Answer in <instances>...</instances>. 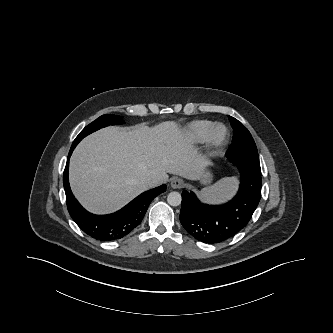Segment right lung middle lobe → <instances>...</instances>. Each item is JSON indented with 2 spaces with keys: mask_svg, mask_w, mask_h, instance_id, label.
Listing matches in <instances>:
<instances>
[{
  "mask_svg": "<svg viewBox=\"0 0 333 333\" xmlns=\"http://www.w3.org/2000/svg\"><path fill=\"white\" fill-rule=\"evenodd\" d=\"M123 120L120 116L116 115H102L99 118H97L95 121L87 125L76 137L72 145H77L84 137L91 134L92 132L106 127L108 125H115V124H123Z\"/></svg>",
  "mask_w": 333,
  "mask_h": 333,
  "instance_id": "dd1d6c3e",
  "label": "right lung middle lobe"
}]
</instances>
